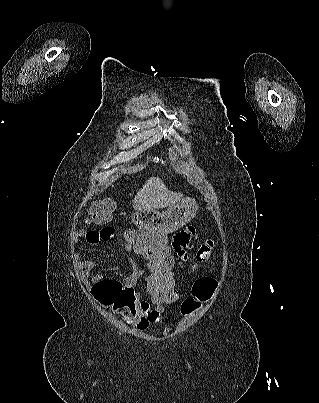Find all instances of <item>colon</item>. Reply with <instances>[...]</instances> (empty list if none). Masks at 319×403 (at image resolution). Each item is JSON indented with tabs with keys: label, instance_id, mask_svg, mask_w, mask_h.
I'll return each instance as SVG.
<instances>
[{
	"label": "colon",
	"instance_id": "obj_1",
	"mask_svg": "<svg viewBox=\"0 0 319 403\" xmlns=\"http://www.w3.org/2000/svg\"><path fill=\"white\" fill-rule=\"evenodd\" d=\"M93 204L89 220L94 223L107 221L114 199L95 197ZM126 240L131 243V254H137L138 260H144V268H150L146 273L149 279L146 290L150 304H163L166 310L172 309L177 297L173 268L178 267V262L172 258L171 252H166L169 249V234H141L139 229H132ZM212 254L214 245L209 243L197 245V249H193V267L189 271L191 276H195L193 296H183L182 307L175 310L176 317H183L185 325H190L191 317L208 307L210 299L207 295L217 287L212 276H200L201 270L208 269Z\"/></svg>",
	"mask_w": 319,
	"mask_h": 403
}]
</instances>
